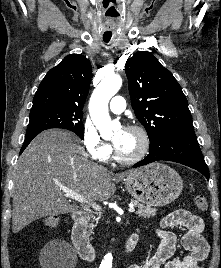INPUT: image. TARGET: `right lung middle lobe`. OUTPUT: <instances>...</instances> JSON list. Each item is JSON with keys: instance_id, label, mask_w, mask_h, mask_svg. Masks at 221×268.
Listing matches in <instances>:
<instances>
[{"instance_id": "obj_1", "label": "right lung middle lobe", "mask_w": 221, "mask_h": 268, "mask_svg": "<svg viewBox=\"0 0 221 268\" xmlns=\"http://www.w3.org/2000/svg\"><path fill=\"white\" fill-rule=\"evenodd\" d=\"M83 112L48 109L30 112V121L27 133L41 132L50 128H62L76 133L84 138V126L82 123Z\"/></svg>"}]
</instances>
